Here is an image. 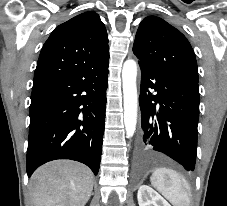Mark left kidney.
Listing matches in <instances>:
<instances>
[{
	"label": "left kidney",
	"instance_id": "obj_1",
	"mask_svg": "<svg viewBox=\"0 0 227 206\" xmlns=\"http://www.w3.org/2000/svg\"><path fill=\"white\" fill-rule=\"evenodd\" d=\"M139 206H171L161 195L147 185H141L138 189Z\"/></svg>",
	"mask_w": 227,
	"mask_h": 206
}]
</instances>
